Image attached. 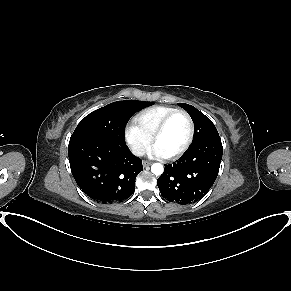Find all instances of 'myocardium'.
<instances>
[{
  "label": "myocardium",
  "instance_id": "f54148a6",
  "mask_svg": "<svg viewBox=\"0 0 291 291\" xmlns=\"http://www.w3.org/2000/svg\"><path fill=\"white\" fill-rule=\"evenodd\" d=\"M176 115L185 116V118L188 121V125H189V134H188V138H187L186 143L184 144V146L180 150H178L177 152H175V153H173L171 155H167L166 156L167 159H177V158L181 157L189 149V147L191 146V144L193 142V138H194V122H193L191 116L185 110L177 109V110L171 112L170 114H168L161 121V123L159 124V126L157 127L156 131L154 132V134L152 136V142L154 144L156 143L158 138L166 130L167 125L169 124L170 120Z\"/></svg>",
  "mask_w": 291,
  "mask_h": 291
}]
</instances>
